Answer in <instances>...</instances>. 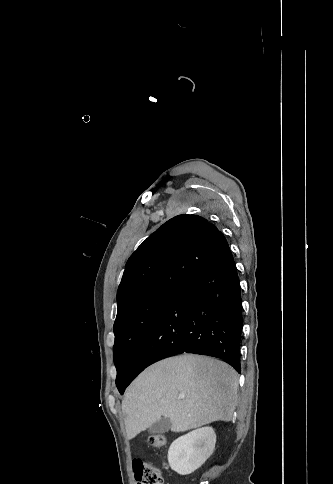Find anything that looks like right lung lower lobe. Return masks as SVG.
Returning <instances> with one entry per match:
<instances>
[{
  "mask_svg": "<svg viewBox=\"0 0 333 484\" xmlns=\"http://www.w3.org/2000/svg\"><path fill=\"white\" fill-rule=\"evenodd\" d=\"M242 327L240 284L229 250L176 290L141 342L126 387L150 364L182 353L221 358L240 373Z\"/></svg>",
  "mask_w": 333,
  "mask_h": 484,
  "instance_id": "right-lung-lower-lobe-1",
  "label": "right lung lower lobe"
}]
</instances>
